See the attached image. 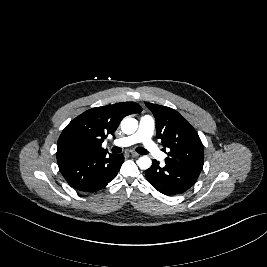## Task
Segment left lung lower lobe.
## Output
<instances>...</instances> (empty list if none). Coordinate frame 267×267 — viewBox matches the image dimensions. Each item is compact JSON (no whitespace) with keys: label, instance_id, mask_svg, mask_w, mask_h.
Masks as SVG:
<instances>
[{"label":"left lung lower lobe","instance_id":"obj_1","mask_svg":"<svg viewBox=\"0 0 267 267\" xmlns=\"http://www.w3.org/2000/svg\"><path fill=\"white\" fill-rule=\"evenodd\" d=\"M145 176L156 190L172 196L191 188L199 174L167 164L160 166L159 162L154 160L152 166L145 171Z\"/></svg>","mask_w":267,"mask_h":267}]
</instances>
